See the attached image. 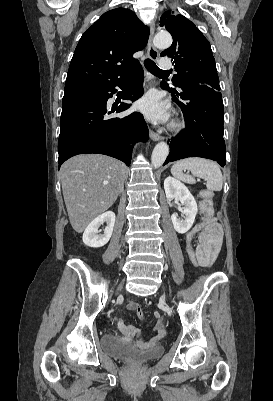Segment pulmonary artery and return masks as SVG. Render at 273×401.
Masks as SVG:
<instances>
[{
    "label": "pulmonary artery",
    "instance_id": "pulmonary-artery-1",
    "mask_svg": "<svg viewBox=\"0 0 273 401\" xmlns=\"http://www.w3.org/2000/svg\"><path fill=\"white\" fill-rule=\"evenodd\" d=\"M159 64L161 65V69L164 72H172L174 69L172 59L170 57H161L159 59Z\"/></svg>",
    "mask_w": 273,
    "mask_h": 401
}]
</instances>
